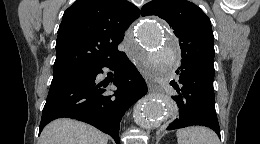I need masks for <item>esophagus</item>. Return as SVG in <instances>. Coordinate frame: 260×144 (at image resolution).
Returning <instances> with one entry per match:
<instances>
[{
    "label": "esophagus",
    "instance_id": "34e87169",
    "mask_svg": "<svg viewBox=\"0 0 260 144\" xmlns=\"http://www.w3.org/2000/svg\"><path fill=\"white\" fill-rule=\"evenodd\" d=\"M144 78L147 82L148 89L150 93L156 92L159 90L158 85L154 82L153 76L149 73L144 74Z\"/></svg>",
    "mask_w": 260,
    "mask_h": 144
}]
</instances>
